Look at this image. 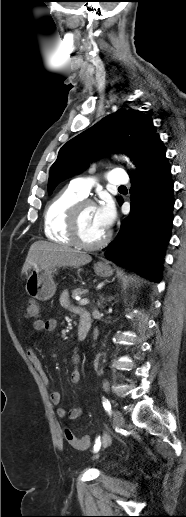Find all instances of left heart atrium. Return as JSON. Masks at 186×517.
I'll return each mask as SVG.
<instances>
[{"label": "left heart atrium", "instance_id": "1", "mask_svg": "<svg viewBox=\"0 0 186 517\" xmlns=\"http://www.w3.org/2000/svg\"><path fill=\"white\" fill-rule=\"evenodd\" d=\"M96 216L101 226L106 230L112 225L115 218V207L109 198H105L102 203L96 207Z\"/></svg>", "mask_w": 186, "mask_h": 517}]
</instances>
